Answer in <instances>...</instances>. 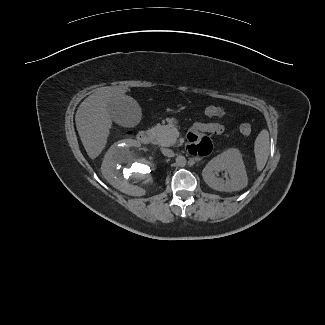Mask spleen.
Listing matches in <instances>:
<instances>
[{"label":"spleen","mask_w":325,"mask_h":325,"mask_svg":"<svg viewBox=\"0 0 325 325\" xmlns=\"http://www.w3.org/2000/svg\"><path fill=\"white\" fill-rule=\"evenodd\" d=\"M269 133L263 129L258 134L254 144V154L256 160V167L258 171H262L269 156L270 141Z\"/></svg>","instance_id":"3e777b00"}]
</instances>
